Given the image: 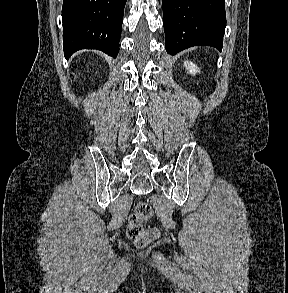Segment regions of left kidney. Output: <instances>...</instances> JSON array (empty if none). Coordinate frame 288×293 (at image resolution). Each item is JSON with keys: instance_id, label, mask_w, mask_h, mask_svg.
<instances>
[{"instance_id": "left-kidney-1", "label": "left kidney", "mask_w": 288, "mask_h": 293, "mask_svg": "<svg viewBox=\"0 0 288 293\" xmlns=\"http://www.w3.org/2000/svg\"><path fill=\"white\" fill-rule=\"evenodd\" d=\"M184 66L186 68V70L191 74V75H195L196 73H200L199 68L197 67V65L193 64L191 61H185L184 62Z\"/></svg>"}]
</instances>
